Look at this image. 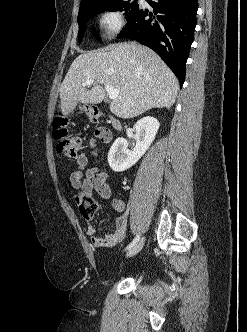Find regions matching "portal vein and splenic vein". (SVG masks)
I'll return each instance as SVG.
<instances>
[{
  "label": "portal vein and splenic vein",
  "mask_w": 247,
  "mask_h": 332,
  "mask_svg": "<svg viewBox=\"0 0 247 332\" xmlns=\"http://www.w3.org/2000/svg\"><path fill=\"white\" fill-rule=\"evenodd\" d=\"M93 83H94V80L90 79V80H87V81L83 82L81 85H82L83 87H85V86H90V85H92ZM104 87H105V89H106V91H107V94H108V96H109V98H110L111 100H114V99H116V98L118 97V95H119V90L113 88L112 86H110V85H108V84H105Z\"/></svg>",
  "instance_id": "portal-vein-and-splenic-vein-1"
}]
</instances>
